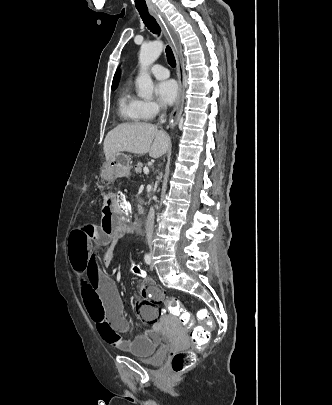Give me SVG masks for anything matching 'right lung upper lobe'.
<instances>
[{
	"instance_id": "obj_1",
	"label": "right lung upper lobe",
	"mask_w": 332,
	"mask_h": 405,
	"mask_svg": "<svg viewBox=\"0 0 332 405\" xmlns=\"http://www.w3.org/2000/svg\"><path fill=\"white\" fill-rule=\"evenodd\" d=\"M119 78H120V70H117L114 75V78H113L112 86H115L118 84Z\"/></svg>"
}]
</instances>
